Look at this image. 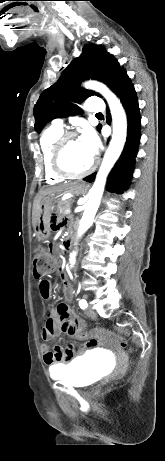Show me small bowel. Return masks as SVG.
Returning <instances> with one entry per match:
<instances>
[{
  "label": "small bowel",
  "instance_id": "c3829d8e",
  "mask_svg": "<svg viewBox=\"0 0 165 461\" xmlns=\"http://www.w3.org/2000/svg\"><path fill=\"white\" fill-rule=\"evenodd\" d=\"M64 219L69 221L71 216L66 214ZM49 220L51 222H56L58 220V215L50 214ZM62 278L65 302L58 304L52 312L48 311L43 316L41 337L43 340L49 341L55 336L64 333L78 340H82L84 344L79 348L81 353L86 351L88 354H92L95 351V348L87 344L89 339L87 338L88 333L84 332V322L82 319L74 315L68 306V302L74 295L73 287L64 273L62 274ZM39 292L43 299H51L53 295L52 283L45 279L41 280L39 282ZM41 352L43 354V361L50 367L51 372H53L56 366L72 359L74 356V350L72 352H68L59 345L53 346L52 349H49L46 345H44L41 348Z\"/></svg>",
  "mask_w": 165,
  "mask_h": 461
}]
</instances>
